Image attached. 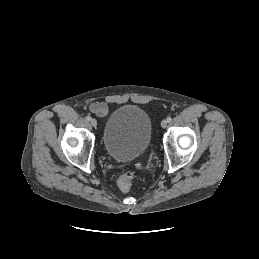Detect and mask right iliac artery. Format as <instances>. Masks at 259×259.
Masks as SVG:
<instances>
[{
	"label": "right iliac artery",
	"instance_id": "right-iliac-artery-1",
	"mask_svg": "<svg viewBox=\"0 0 259 259\" xmlns=\"http://www.w3.org/2000/svg\"><path fill=\"white\" fill-rule=\"evenodd\" d=\"M86 120L90 121L91 117L90 116H86Z\"/></svg>",
	"mask_w": 259,
	"mask_h": 259
}]
</instances>
